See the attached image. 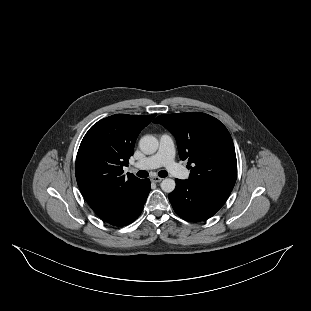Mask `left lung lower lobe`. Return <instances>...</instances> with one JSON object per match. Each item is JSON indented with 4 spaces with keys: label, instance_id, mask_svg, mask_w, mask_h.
<instances>
[{
    "label": "left lung lower lobe",
    "instance_id": "obj_1",
    "mask_svg": "<svg viewBox=\"0 0 311 311\" xmlns=\"http://www.w3.org/2000/svg\"><path fill=\"white\" fill-rule=\"evenodd\" d=\"M231 191L176 179L175 190L168 195L174 211L192 222L212 217L226 202Z\"/></svg>",
    "mask_w": 311,
    "mask_h": 311
}]
</instances>
